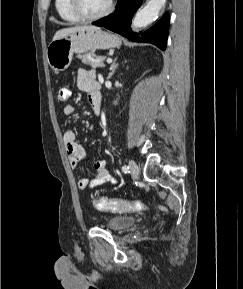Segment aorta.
<instances>
[{"label": "aorta", "mask_w": 243, "mask_h": 289, "mask_svg": "<svg viewBox=\"0 0 243 289\" xmlns=\"http://www.w3.org/2000/svg\"><path fill=\"white\" fill-rule=\"evenodd\" d=\"M166 0H149L147 4L139 10L133 21V29L146 27L155 21L160 13V10L164 7Z\"/></svg>", "instance_id": "aorta-1"}]
</instances>
